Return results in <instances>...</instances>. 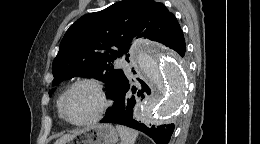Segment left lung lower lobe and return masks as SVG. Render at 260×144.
Returning a JSON list of instances; mask_svg holds the SVG:
<instances>
[{
    "instance_id": "0a47b994",
    "label": "left lung lower lobe",
    "mask_w": 260,
    "mask_h": 144,
    "mask_svg": "<svg viewBox=\"0 0 260 144\" xmlns=\"http://www.w3.org/2000/svg\"><path fill=\"white\" fill-rule=\"evenodd\" d=\"M165 46L184 57L186 44L182 30ZM133 73L136 72L133 71ZM137 81L141 88H136L134 83L127 77L123 80L112 98L114 100L113 106L108 108L105 117L100 122L124 125L147 134L156 144H168L174 131V124L147 126L138 119L137 96L144 98V94L150 95L151 90L144 81L139 78H137ZM132 93L136 95H132Z\"/></svg>"
}]
</instances>
